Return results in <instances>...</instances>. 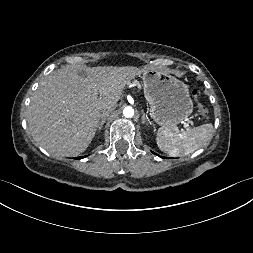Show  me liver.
<instances>
[{"label":"liver","instance_id":"liver-1","mask_svg":"<svg viewBox=\"0 0 253 253\" xmlns=\"http://www.w3.org/2000/svg\"><path fill=\"white\" fill-rule=\"evenodd\" d=\"M141 71L134 67H75L53 71L28 108L30 133L38 145L60 156H77L91 143L103 107L121 98ZM94 92L100 94L94 96Z\"/></svg>","mask_w":253,"mask_h":253}]
</instances>
